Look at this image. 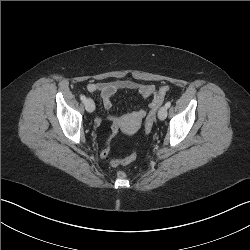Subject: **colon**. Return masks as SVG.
<instances>
[{"mask_svg":"<svg viewBox=\"0 0 250 250\" xmlns=\"http://www.w3.org/2000/svg\"><path fill=\"white\" fill-rule=\"evenodd\" d=\"M168 90H169V86L163 85L155 92V94L153 96V99H152L151 104H150L149 113H148L146 120H145V132L147 135L151 132V130L153 128V125L155 123L156 111L160 107V105L162 104ZM119 126H120L119 123L116 121L112 123L111 129L106 134V137L103 139V148L100 152V157L104 158L105 160H108L112 166L128 165V164L132 163L137 157V151H134L131 154H129L128 156H126L125 158H123L122 160L109 159L110 147L112 146V144L115 141V135H117L119 132L118 131L120 128ZM117 176H118V178L123 179L126 177V172L124 170L120 169L117 171Z\"/></svg>","mask_w":250,"mask_h":250,"instance_id":"obj_1","label":"colon"}]
</instances>
